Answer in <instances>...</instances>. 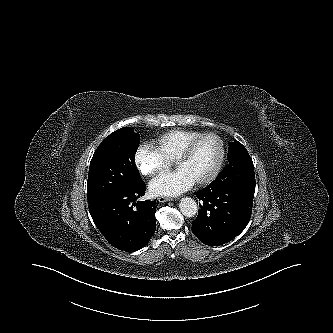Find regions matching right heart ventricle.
<instances>
[{"label": "right heart ventricle", "instance_id": "1", "mask_svg": "<svg viewBox=\"0 0 333 333\" xmlns=\"http://www.w3.org/2000/svg\"><path fill=\"white\" fill-rule=\"evenodd\" d=\"M202 134L193 130H171L153 142V149L169 161H174L181 153L186 144Z\"/></svg>", "mask_w": 333, "mask_h": 333}]
</instances>
